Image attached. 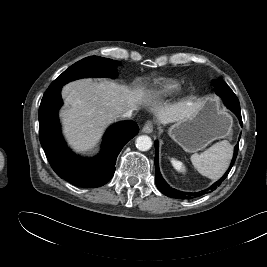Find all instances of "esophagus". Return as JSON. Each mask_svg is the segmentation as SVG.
<instances>
[{"label":"esophagus","instance_id":"obj_1","mask_svg":"<svg viewBox=\"0 0 267 267\" xmlns=\"http://www.w3.org/2000/svg\"><path fill=\"white\" fill-rule=\"evenodd\" d=\"M153 129H154L153 122L152 121H147L144 124L143 128H142V132L149 134V133H152L153 132Z\"/></svg>","mask_w":267,"mask_h":267}]
</instances>
